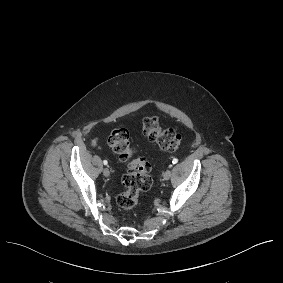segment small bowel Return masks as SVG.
Listing matches in <instances>:
<instances>
[{"label":"small bowel","instance_id":"small-bowel-1","mask_svg":"<svg viewBox=\"0 0 283 283\" xmlns=\"http://www.w3.org/2000/svg\"><path fill=\"white\" fill-rule=\"evenodd\" d=\"M97 144V140H93V145H96Z\"/></svg>","mask_w":283,"mask_h":283}]
</instances>
